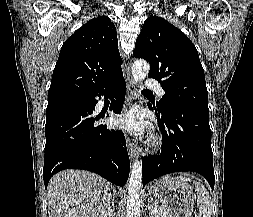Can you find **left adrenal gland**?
Segmentation results:
<instances>
[{
    "label": "left adrenal gland",
    "instance_id": "1",
    "mask_svg": "<svg viewBox=\"0 0 253 217\" xmlns=\"http://www.w3.org/2000/svg\"><path fill=\"white\" fill-rule=\"evenodd\" d=\"M153 204H152V201H149L148 203V209H149V215L150 217H154V213H153Z\"/></svg>",
    "mask_w": 253,
    "mask_h": 217
}]
</instances>
